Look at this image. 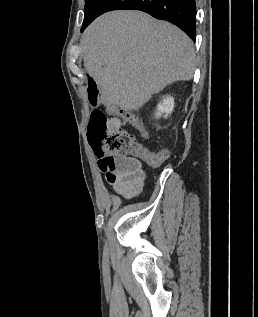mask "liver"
Returning <instances> with one entry per match:
<instances>
[{
    "label": "liver",
    "instance_id": "1",
    "mask_svg": "<svg viewBox=\"0 0 258 317\" xmlns=\"http://www.w3.org/2000/svg\"><path fill=\"white\" fill-rule=\"evenodd\" d=\"M84 66L107 104L140 108L151 94L195 70L193 42L183 30L141 10H112L83 32Z\"/></svg>",
    "mask_w": 258,
    "mask_h": 317
}]
</instances>
